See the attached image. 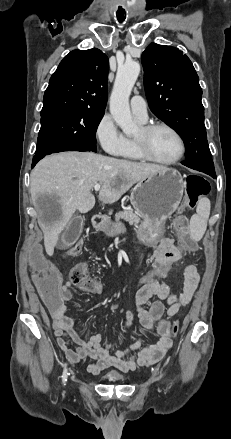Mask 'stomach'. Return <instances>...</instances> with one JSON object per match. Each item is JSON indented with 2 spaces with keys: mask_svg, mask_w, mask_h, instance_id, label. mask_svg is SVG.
I'll list each match as a JSON object with an SVG mask.
<instances>
[{
  "mask_svg": "<svg viewBox=\"0 0 231 439\" xmlns=\"http://www.w3.org/2000/svg\"><path fill=\"white\" fill-rule=\"evenodd\" d=\"M184 190L181 174L165 168L139 181L132 189L130 201L142 222L137 236L147 245L153 244L163 233L165 221L177 210ZM108 236L125 231L121 223H111L104 228Z\"/></svg>",
  "mask_w": 231,
  "mask_h": 439,
  "instance_id": "0dacf381",
  "label": "stomach"
}]
</instances>
